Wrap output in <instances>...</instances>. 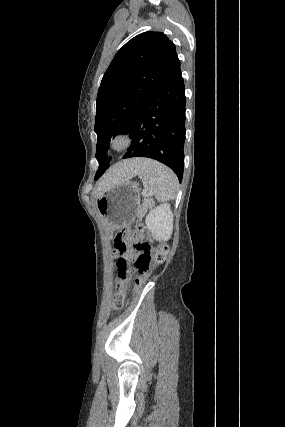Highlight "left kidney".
<instances>
[{
	"label": "left kidney",
	"mask_w": 285,
	"mask_h": 427,
	"mask_svg": "<svg viewBox=\"0 0 285 427\" xmlns=\"http://www.w3.org/2000/svg\"><path fill=\"white\" fill-rule=\"evenodd\" d=\"M147 229L156 240L167 241L173 232V214L169 204H161L146 216Z\"/></svg>",
	"instance_id": "1"
}]
</instances>
